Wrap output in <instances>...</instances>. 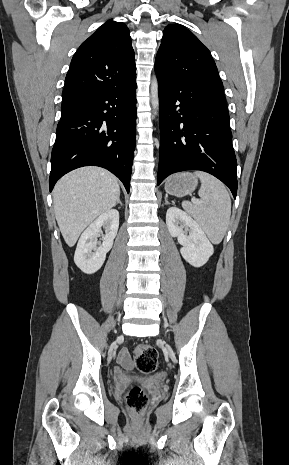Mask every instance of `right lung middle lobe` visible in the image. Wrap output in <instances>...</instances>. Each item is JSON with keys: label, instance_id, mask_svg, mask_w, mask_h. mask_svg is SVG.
<instances>
[{"label": "right lung middle lobe", "instance_id": "right-lung-middle-lobe-1", "mask_svg": "<svg viewBox=\"0 0 289 465\" xmlns=\"http://www.w3.org/2000/svg\"><path fill=\"white\" fill-rule=\"evenodd\" d=\"M79 108V104H69L61 106V119L71 116Z\"/></svg>", "mask_w": 289, "mask_h": 465}]
</instances>
